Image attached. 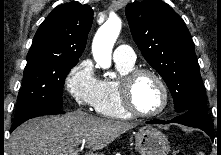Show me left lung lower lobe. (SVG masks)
<instances>
[{"instance_id":"left-lung-lower-lobe-1","label":"left lung lower lobe","mask_w":221,"mask_h":155,"mask_svg":"<svg viewBox=\"0 0 221 155\" xmlns=\"http://www.w3.org/2000/svg\"><path fill=\"white\" fill-rule=\"evenodd\" d=\"M147 124H167V123H179L189 127L200 128L205 131L212 140H214V126L211 121L207 108H193L184 113H181L179 116L173 118L170 121L164 120H151L147 121Z\"/></svg>"}]
</instances>
